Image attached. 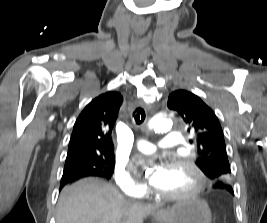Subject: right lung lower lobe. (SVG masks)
I'll list each match as a JSON object with an SVG mask.
<instances>
[{"label": "right lung lower lobe", "mask_w": 267, "mask_h": 223, "mask_svg": "<svg viewBox=\"0 0 267 223\" xmlns=\"http://www.w3.org/2000/svg\"><path fill=\"white\" fill-rule=\"evenodd\" d=\"M88 176H99L101 177L100 175L98 174H94V173H87V172H83L81 170H75V171H71V172H66L64 171L63 172V176H62V180H61V184H60V189L72 182V181H75L77 179H80V178H84V177H88Z\"/></svg>", "instance_id": "98d812e1"}]
</instances>
